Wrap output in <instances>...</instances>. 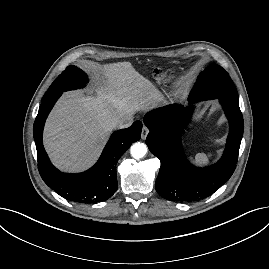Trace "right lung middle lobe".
<instances>
[{"instance_id": "dd1d6c3e", "label": "right lung middle lobe", "mask_w": 269, "mask_h": 269, "mask_svg": "<svg viewBox=\"0 0 269 269\" xmlns=\"http://www.w3.org/2000/svg\"><path fill=\"white\" fill-rule=\"evenodd\" d=\"M87 81L88 78L84 71L74 65H70L51 84L42 101L64 91L82 88Z\"/></svg>"}]
</instances>
